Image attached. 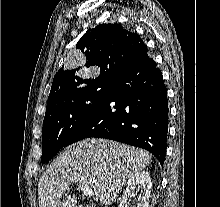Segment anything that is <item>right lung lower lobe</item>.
<instances>
[{"label":"right lung lower lobe","mask_w":220,"mask_h":207,"mask_svg":"<svg viewBox=\"0 0 220 207\" xmlns=\"http://www.w3.org/2000/svg\"><path fill=\"white\" fill-rule=\"evenodd\" d=\"M167 134V89L146 53L108 83L101 105L75 130L69 144L89 137L112 139L146 149L163 164Z\"/></svg>","instance_id":"obj_1"}]
</instances>
